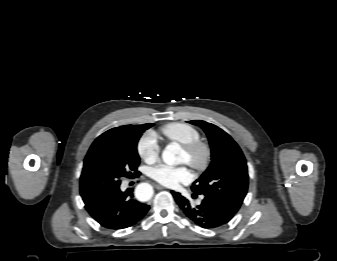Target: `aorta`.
<instances>
[{"label": "aorta", "mask_w": 337, "mask_h": 261, "mask_svg": "<svg viewBox=\"0 0 337 261\" xmlns=\"http://www.w3.org/2000/svg\"><path fill=\"white\" fill-rule=\"evenodd\" d=\"M182 149L176 142L168 144L162 152V159L168 165L181 163ZM153 189L148 183H141L135 189V196L141 201H147L152 197Z\"/></svg>", "instance_id": "762f6f07"}]
</instances>
